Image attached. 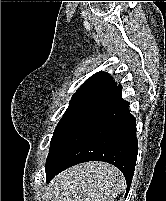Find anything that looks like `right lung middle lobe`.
Returning <instances> with one entry per match:
<instances>
[{"label": "right lung middle lobe", "instance_id": "right-lung-middle-lobe-1", "mask_svg": "<svg viewBox=\"0 0 166 201\" xmlns=\"http://www.w3.org/2000/svg\"><path fill=\"white\" fill-rule=\"evenodd\" d=\"M105 98L106 97H88L70 101V105L58 123L51 139V146L46 164L53 158L55 153L67 139L74 134L104 102Z\"/></svg>", "mask_w": 166, "mask_h": 201}]
</instances>
